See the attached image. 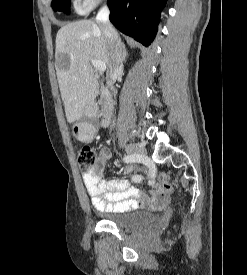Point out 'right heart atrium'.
<instances>
[{"label": "right heart atrium", "instance_id": "right-heart-atrium-1", "mask_svg": "<svg viewBox=\"0 0 247 275\" xmlns=\"http://www.w3.org/2000/svg\"><path fill=\"white\" fill-rule=\"evenodd\" d=\"M108 0H74V9L78 14H84Z\"/></svg>", "mask_w": 247, "mask_h": 275}]
</instances>
